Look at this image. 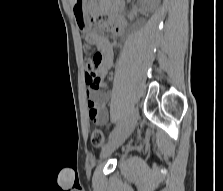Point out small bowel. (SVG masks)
Instances as JSON below:
<instances>
[{
  "label": "small bowel",
  "mask_w": 223,
  "mask_h": 191,
  "mask_svg": "<svg viewBox=\"0 0 223 191\" xmlns=\"http://www.w3.org/2000/svg\"><path fill=\"white\" fill-rule=\"evenodd\" d=\"M101 27H108L102 23ZM125 28L123 21H116L113 25L115 35H122ZM89 41L95 44L99 50L100 63L98 72L100 75V84L96 87L89 86L87 90V109L88 117L97 125H105L109 120V113L106 108L108 95L101 90L107 87L105 76L113 65V48L108 39L99 32H91L88 37Z\"/></svg>",
  "instance_id": "small-bowel-1"
}]
</instances>
